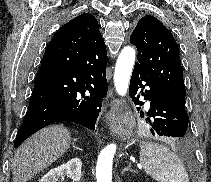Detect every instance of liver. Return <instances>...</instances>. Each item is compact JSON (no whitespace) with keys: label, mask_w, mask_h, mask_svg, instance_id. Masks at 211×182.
Returning <instances> with one entry per match:
<instances>
[{"label":"liver","mask_w":211,"mask_h":182,"mask_svg":"<svg viewBox=\"0 0 211 182\" xmlns=\"http://www.w3.org/2000/svg\"><path fill=\"white\" fill-rule=\"evenodd\" d=\"M71 134L65 127H46L28 138L12 161L13 182H27L50 166L70 147Z\"/></svg>","instance_id":"1"}]
</instances>
